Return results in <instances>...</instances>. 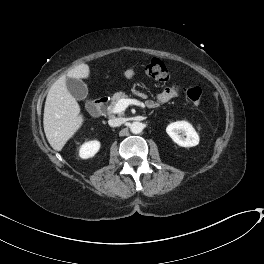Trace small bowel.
I'll return each mask as SVG.
<instances>
[{"mask_svg":"<svg viewBox=\"0 0 264 264\" xmlns=\"http://www.w3.org/2000/svg\"><path fill=\"white\" fill-rule=\"evenodd\" d=\"M138 95L144 98L142 93H138ZM178 95V91L175 86H167L161 93H159L155 99H149L145 102L146 107L148 108H156L160 104L168 102L174 99Z\"/></svg>","mask_w":264,"mask_h":264,"instance_id":"obj_1","label":"small bowel"}]
</instances>
